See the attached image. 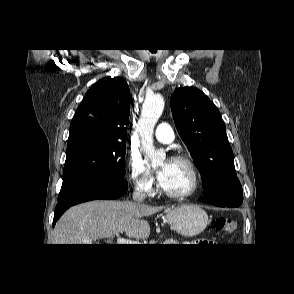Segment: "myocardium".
Returning a JSON list of instances; mask_svg holds the SVG:
<instances>
[{"label": "myocardium", "instance_id": "f54148a6", "mask_svg": "<svg viewBox=\"0 0 294 294\" xmlns=\"http://www.w3.org/2000/svg\"><path fill=\"white\" fill-rule=\"evenodd\" d=\"M172 161L180 162V163L187 166V168L189 169V171L191 173V178H192L191 186L188 190H186L184 192L174 193V192H170V191L165 190L160 183L159 184V192L162 195H164L168 198H172V199L188 198L196 192V190L198 189V187L200 185V174H199L198 168H197L195 162L190 157L185 156V155H176L172 158Z\"/></svg>", "mask_w": 294, "mask_h": 294}]
</instances>
